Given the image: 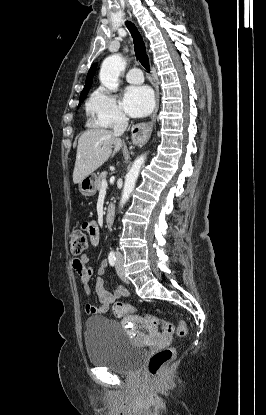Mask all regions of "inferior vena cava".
<instances>
[{"mask_svg":"<svg viewBox=\"0 0 266 415\" xmlns=\"http://www.w3.org/2000/svg\"><path fill=\"white\" fill-rule=\"evenodd\" d=\"M127 127H128V118L125 115L119 116L118 119L115 121V124L113 127L114 134L116 136L122 135L127 129ZM121 256H122L121 253L117 251L116 257H121Z\"/></svg>","mask_w":266,"mask_h":415,"instance_id":"obj_1","label":"inferior vena cava"}]
</instances>
